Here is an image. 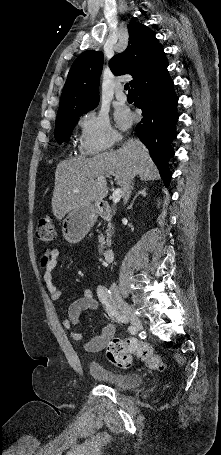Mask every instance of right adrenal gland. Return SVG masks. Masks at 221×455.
I'll list each match as a JSON object with an SVG mask.
<instances>
[{
	"mask_svg": "<svg viewBox=\"0 0 221 455\" xmlns=\"http://www.w3.org/2000/svg\"><path fill=\"white\" fill-rule=\"evenodd\" d=\"M139 195H142V196L145 197V196L147 195V193H146V188H141V190H139V191L135 194V196L133 197V199H132V201H131V203H130V205H129V208H132V207H133L134 202H135L136 198H137Z\"/></svg>",
	"mask_w": 221,
	"mask_h": 455,
	"instance_id": "obj_1",
	"label": "right adrenal gland"
}]
</instances>
